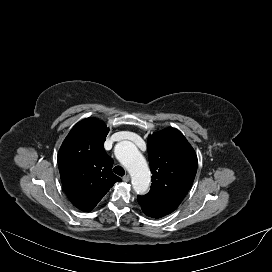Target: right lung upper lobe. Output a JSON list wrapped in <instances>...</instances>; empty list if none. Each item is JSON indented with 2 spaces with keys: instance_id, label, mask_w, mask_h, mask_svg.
<instances>
[{
  "instance_id": "cb5924a9",
  "label": "right lung upper lobe",
  "mask_w": 272,
  "mask_h": 272,
  "mask_svg": "<svg viewBox=\"0 0 272 272\" xmlns=\"http://www.w3.org/2000/svg\"><path fill=\"white\" fill-rule=\"evenodd\" d=\"M109 132L96 118L78 122L63 141L58 165L64 190L71 203L89 212L121 179L113 174V160L103 148Z\"/></svg>"
}]
</instances>
